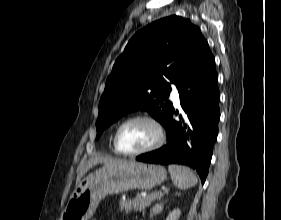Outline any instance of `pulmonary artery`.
I'll return each mask as SVG.
<instances>
[{"label": "pulmonary artery", "mask_w": 281, "mask_h": 220, "mask_svg": "<svg viewBox=\"0 0 281 220\" xmlns=\"http://www.w3.org/2000/svg\"><path fill=\"white\" fill-rule=\"evenodd\" d=\"M170 97H171L172 101L174 102L175 106H179L180 99H179V93L176 88H173Z\"/></svg>", "instance_id": "obj_1"}]
</instances>
